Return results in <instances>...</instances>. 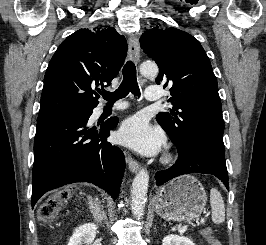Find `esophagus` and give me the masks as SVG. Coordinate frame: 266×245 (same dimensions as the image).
Here are the masks:
<instances>
[{
	"mask_svg": "<svg viewBox=\"0 0 266 245\" xmlns=\"http://www.w3.org/2000/svg\"><path fill=\"white\" fill-rule=\"evenodd\" d=\"M128 55L129 57L134 61L138 62L140 58V49H139V43L138 39L131 35L128 40ZM128 165L131 172L135 173L139 170L140 164L134 160L130 155H128Z\"/></svg>",
	"mask_w": 266,
	"mask_h": 245,
	"instance_id": "esophagus-1",
	"label": "esophagus"
}]
</instances>
